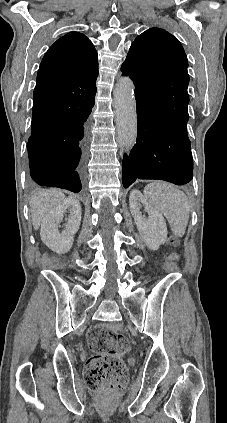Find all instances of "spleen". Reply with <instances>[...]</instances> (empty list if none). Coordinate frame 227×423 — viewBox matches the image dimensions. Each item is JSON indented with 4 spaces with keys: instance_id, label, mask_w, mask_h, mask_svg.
<instances>
[{
    "instance_id": "obj_1",
    "label": "spleen",
    "mask_w": 227,
    "mask_h": 423,
    "mask_svg": "<svg viewBox=\"0 0 227 423\" xmlns=\"http://www.w3.org/2000/svg\"><path fill=\"white\" fill-rule=\"evenodd\" d=\"M149 206L167 217L174 235L182 237L189 219L190 204L187 196L168 182H152L144 188Z\"/></svg>"
}]
</instances>
